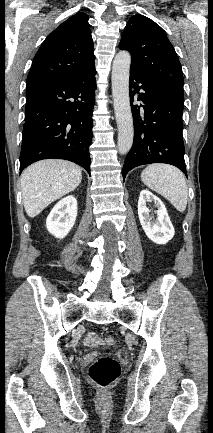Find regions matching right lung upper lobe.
Wrapping results in <instances>:
<instances>
[{
    "label": "right lung upper lobe",
    "instance_id": "obj_1",
    "mask_svg": "<svg viewBox=\"0 0 213 433\" xmlns=\"http://www.w3.org/2000/svg\"><path fill=\"white\" fill-rule=\"evenodd\" d=\"M93 40L85 13H77L51 32L37 51L27 83L61 82L95 67Z\"/></svg>",
    "mask_w": 213,
    "mask_h": 433
}]
</instances>
